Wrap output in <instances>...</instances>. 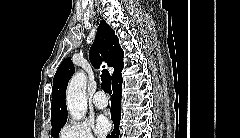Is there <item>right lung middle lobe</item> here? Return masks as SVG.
<instances>
[{"mask_svg":"<svg viewBox=\"0 0 240 138\" xmlns=\"http://www.w3.org/2000/svg\"><path fill=\"white\" fill-rule=\"evenodd\" d=\"M64 124H65V123L52 126L51 135L54 136V138H57V137H58L59 132H60V130H61V128H62V126H63Z\"/></svg>","mask_w":240,"mask_h":138,"instance_id":"right-lung-middle-lobe-1","label":"right lung middle lobe"}]
</instances>
